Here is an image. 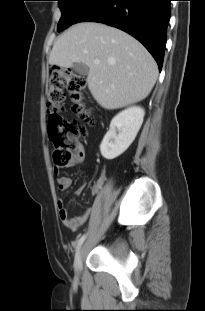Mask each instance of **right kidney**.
<instances>
[{
    "label": "right kidney",
    "mask_w": 205,
    "mask_h": 311,
    "mask_svg": "<svg viewBox=\"0 0 205 311\" xmlns=\"http://www.w3.org/2000/svg\"><path fill=\"white\" fill-rule=\"evenodd\" d=\"M144 114L141 107H130L112 119L110 129L100 145L105 159L112 160L128 149L143 123Z\"/></svg>",
    "instance_id": "1"
}]
</instances>
